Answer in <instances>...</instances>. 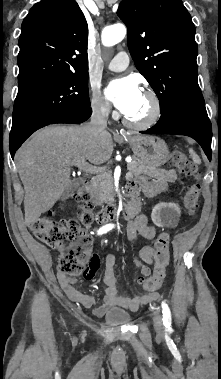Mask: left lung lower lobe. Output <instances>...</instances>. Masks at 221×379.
Returning a JSON list of instances; mask_svg holds the SVG:
<instances>
[{"label": "left lung lower lobe", "instance_id": "obj_1", "mask_svg": "<svg viewBox=\"0 0 221 379\" xmlns=\"http://www.w3.org/2000/svg\"><path fill=\"white\" fill-rule=\"evenodd\" d=\"M145 134H175L186 135L195 139L211 160V122L207 112H201L185 107H169L152 128L141 131Z\"/></svg>", "mask_w": 221, "mask_h": 379}]
</instances>
